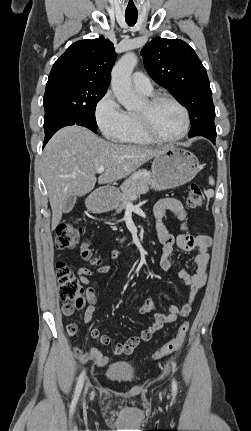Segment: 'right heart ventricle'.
<instances>
[{
	"mask_svg": "<svg viewBox=\"0 0 251 431\" xmlns=\"http://www.w3.org/2000/svg\"><path fill=\"white\" fill-rule=\"evenodd\" d=\"M118 141L133 145H149L153 143L141 129L137 114L127 113V126L124 132L117 138Z\"/></svg>",
	"mask_w": 251,
	"mask_h": 431,
	"instance_id": "obj_1",
	"label": "right heart ventricle"
}]
</instances>
